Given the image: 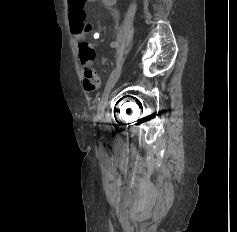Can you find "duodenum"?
Segmentation results:
<instances>
[{
	"instance_id": "410a0bca",
	"label": "duodenum",
	"mask_w": 237,
	"mask_h": 232,
	"mask_svg": "<svg viewBox=\"0 0 237 232\" xmlns=\"http://www.w3.org/2000/svg\"><path fill=\"white\" fill-rule=\"evenodd\" d=\"M117 0H102L105 6H111L116 3Z\"/></svg>"
}]
</instances>
